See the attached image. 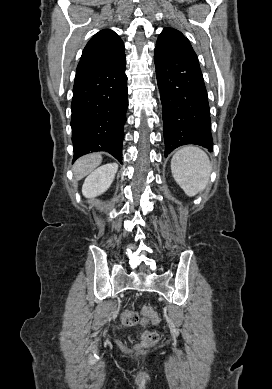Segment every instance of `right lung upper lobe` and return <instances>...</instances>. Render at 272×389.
<instances>
[{"instance_id": "right-lung-upper-lobe-1", "label": "right lung upper lobe", "mask_w": 272, "mask_h": 389, "mask_svg": "<svg viewBox=\"0 0 272 389\" xmlns=\"http://www.w3.org/2000/svg\"><path fill=\"white\" fill-rule=\"evenodd\" d=\"M124 49L122 40L114 31L101 30L85 46L76 73L113 62L125 55Z\"/></svg>"}]
</instances>
